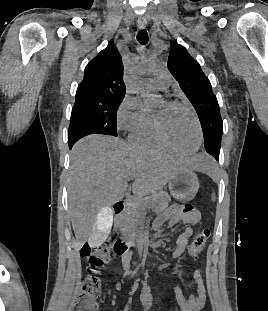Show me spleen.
Instances as JSON below:
<instances>
[{"label":"spleen","mask_w":268,"mask_h":311,"mask_svg":"<svg viewBox=\"0 0 268 311\" xmlns=\"http://www.w3.org/2000/svg\"><path fill=\"white\" fill-rule=\"evenodd\" d=\"M216 200L215 193L212 194V201L214 202Z\"/></svg>","instance_id":"obj_1"}]
</instances>
